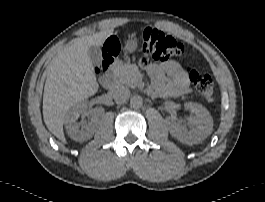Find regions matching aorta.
Listing matches in <instances>:
<instances>
[{
    "label": "aorta",
    "mask_w": 265,
    "mask_h": 202,
    "mask_svg": "<svg viewBox=\"0 0 265 202\" xmlns=\"http://www.w3.org/2000/svg\"><path fill=\"white\" fill-rule=\"evenodd\" d=\"M130 105H131V107H133L135 109L141 108L143 105L142 97L139 95L132 96L130 99Z\"/></svg>",
    "instance_id": "aorta-1"
}]
</instances>
